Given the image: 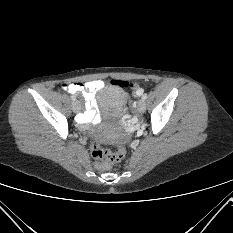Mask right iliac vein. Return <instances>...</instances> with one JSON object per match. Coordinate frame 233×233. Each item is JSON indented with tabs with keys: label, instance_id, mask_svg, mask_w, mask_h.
I'll use <instances>...</instances> for the list:
<instances>
[{
	"label": "right iliac vein",
	"instance_id": "1",
	"mask_svg": "<svg viewBox=\"0 0 233 233\" xmlns=\"http://www.w3.org/2000/svg\"><path fill=\"white\" fill-rule=\"evenodd\" d=\"M80 109H81L80 103L78 101H74L72 103V110H73V112L74 113H78L80 111Z\"/></svg>",
	"mask_w": 233,
	"mask_h": 233
}]
</instances>
